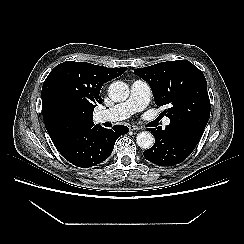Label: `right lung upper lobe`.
Returning <instances> with one entry per match:
<instances>
[{
    "instance_id": "cb5924a9",
    "label": "right lung upper lobe",
    "mask_w": 244,
    "mask_h": 244,
    "mask_svg": "<svg viewBox=\"0 0 244 244\" xmlns=\"http://www.w3.org/2000/svg\"><path fill=\"white\" fill-rule=\"evenodd\" d=\"M126 67L107 68L86 62H63L45 79L42 87V113L46 129L52 139L76 129L94 126L93 111L102 102L99 96L104 83L122 75ZM64 104L76 113L70 126L58 122L54 109Z\"/></svg>"
}]
</instances>
